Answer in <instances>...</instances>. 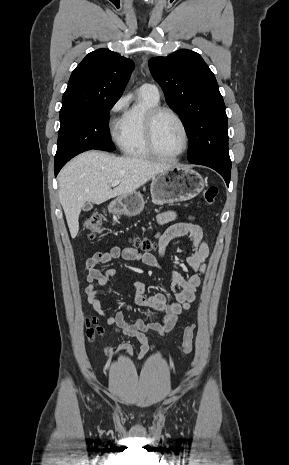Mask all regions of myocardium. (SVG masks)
I'll return each mask as SVG.
<instances>
[{"instance_id":"myocardium-1","label":"myocardium","mask_w":289,"mask_h":465,"mask_svg":"<svg viewBox=\"0 0 289 465\" xmlns=\"http://www.w3.org/2000/svg\"><path fill=\"white\" fill-rule=\"evenodd\" d=\"M162 114H169L174 117L180 124L184 134V146L182 150L170 156L164 155L158 150L155 140L156 123ZM145 139L147 147L152 155L162 160H175L180 158L187 152L190 145V133L185 121L175 110L166 106L157 105L148 110L145 117Z\"/></svg>"}]
</instances>
